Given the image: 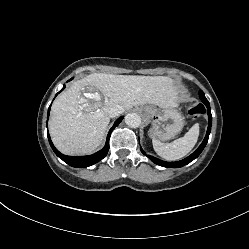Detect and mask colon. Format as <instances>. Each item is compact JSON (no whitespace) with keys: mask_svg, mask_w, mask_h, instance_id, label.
<instances>
[{"mask_svg":"<svg viewBox=\"0 0 249 249\" xmlns=\"http://www.w3.org/2000/svg\"><path fill=\"white\" fill-rule=\"evenodd\" d=\"M187 112L192 117H199L205 111L204 107L201 104L191 102L187 105Z\"/></svg>","mask_w":249,"mask_h":249,"instance_id":"5ec220e1","label":"colon"}]
</instances>
